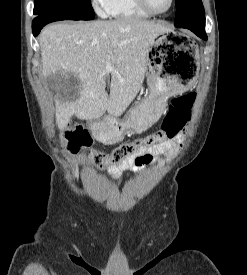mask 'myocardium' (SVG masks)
Listing matches in <instances>:
<instances>
[{"mask_svg":"<svg viewBox=\"0 0 247 275\" xmlns=\"http://www.w3.org/2000/svg\"><path fill=\"white\" fill-rule=\"evenodd\" d=\"M137 2L139 4V6L144 11H146L150 15L158 16V15H164V14L168 13L173 8L175 0H170V4H169L168 8L166 10H163V11H156V10H154L149 5L148 0H137Z\"/></svg>","mask_w":247,"mask_h":275,"instance_id":"myocardium-1","label":"myocardium"}]
</instances>
